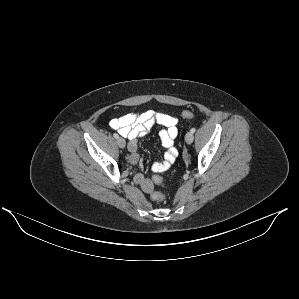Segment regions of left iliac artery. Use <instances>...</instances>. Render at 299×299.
<instances>
[{"label": "left iliac artery", "instance_id": "obj_1", "mask_svg": "<svg viewBox=\"0 0 299 299\" xmlns=\"http://www.w3.org/2000/svg\"><path fill=\"white\" fill-rule=\"evenodd\" d=\"M190 131H191L192 133H194V132L196 131V129H195V128H192Z\"/></svg>", "mask_w": 299, "mask_h": 299}]
</instances>
